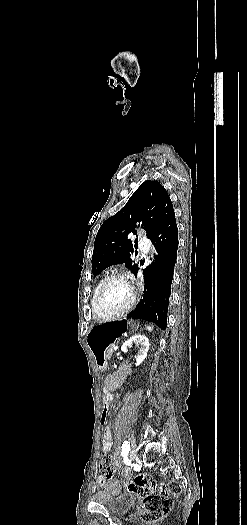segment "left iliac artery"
<instances>
[{
    "mask_svg": "<svg viewBox=\"0 0 247 525\" xmlns=\"http://www.w3.org/2000/svg\"><path fill=\"white\" fill-rule=\"evenodd\" d=\"M130 451V443L128 441L123 442L122 444V455L127 456Z\"/></svg>",
    "mask_w": 247,
    "mask_h": 525,
    "instance_id": "obj_1",
    "label": "left iliac artery"
}]
</instances>
